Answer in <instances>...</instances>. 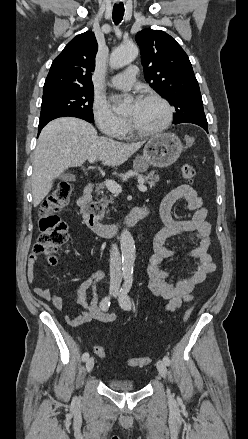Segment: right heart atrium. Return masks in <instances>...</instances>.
Masks as SVG:
<instances>
[{
    "mask_svg": "<svg viewBox=\"0 0 248 439\" xmlns=\"http://www.w3.org/2000/svg\"><path fill=\"white\" fill-rule=\"evenodd\" d=\"M92 114L98 129L107 137H119L128 127L127 120L118 116L102 98L94 100Z\"/></svg>",
    "mask_w": 248,
    "mask_h": 439,
    "instance_id": "1",
    "label": "right heart atrium"
}]
</instances>
